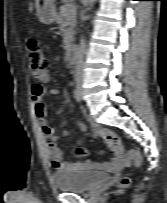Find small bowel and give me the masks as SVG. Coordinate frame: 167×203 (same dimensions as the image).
<instances>
[{
    "label": "small bowel",
    "instance_id": "obj_1",
    "mask_svg": "<svg viewBox=\"0 0 167 203\" xmlns=\"http://www.w3.org/2000/svg\"><path fill=\"white\" fill-rule=\"evenodd\" d=\"M56 61L59 60L58 57L55 58ZM33 77L38 80L31 86V96L34 105V111L36 116L40 120L41 131L44 134L49 148V155L51 158V165L55 170L60 169H76V170H104L111 173L119 172L123 167L129 166L121 162L122 154V144L118 136L108 130L102 128L96 123H91L90 128H87L82 122L75 120L74 124L82 131L88 132L91 136H101L104 138L108 147L112 150L114 155L113 160L104 162H91L85 161L83 163H70L64 160L63 152L61 148L57 145L58 136L56 130L52 124L45 120L46 108L42 102L45 95L55 97L60 94L58 88H45L42 83H47L50 81V71L44 70L39 74H33ZM69 132L65 131L64 136H67Z\"/></svg>",
    "mask_w": 167,
    "mask_h": 203
}]
</instances>
